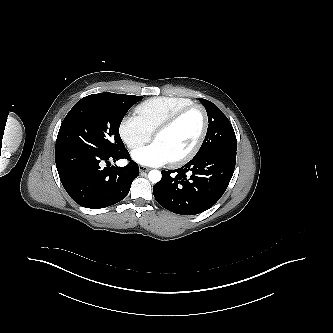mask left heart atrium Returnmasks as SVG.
<instances>
[{
    "label": "left heart atrium",
    "mask_w": 333,
    "mask_h": 333,
    "mask_svg": "<svg viewBox=\"0 0 333 333\" xmlns=\"http://www.w3.org/2000/svg\"><path fill=\"white\" fill-rule=\"evenodd\" d=\"M132 158L137 163L146 166H162L170 162V158L163 147L155 141L150 145L134 150Z\"/></svg>",
    "instance_id": "left-heart-atrium-1"
}]
</instances>
